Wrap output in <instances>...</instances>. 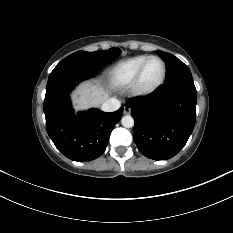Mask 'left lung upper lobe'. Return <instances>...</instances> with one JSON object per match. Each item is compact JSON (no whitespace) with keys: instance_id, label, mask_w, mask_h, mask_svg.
Instances as JSON below:
<instances>
[{"instance_id":"1","label":"left lung upper lobe","mask_w":233,"mask_h":233,"mask_svg":"<svg viewBox=\"0 0 233 233\" xmlns=\"http://www.w3.org/2000/svg\"><path fill=\"white\" fill-rule=\"evenodd\" d=\"M167 65V79L165 84H169L176 80H193L190 69L181 60L174 55L157 51Z\"/></svg>"}]
</instances>
